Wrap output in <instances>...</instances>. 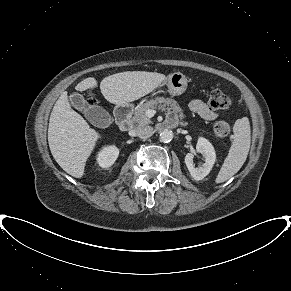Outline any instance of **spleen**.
<instances>
[{
	"label": "spleen",
	"instance_id": "spleen-1",
	"mask_svg": "<svg viewBox=\"0 0 291 291\" xmlns=\"http://www.w3.org/2000/svg\"><path fill=\"white\" fill-rule=\"evenodd\" d=\"M233 132L232 145L216 177V183L227 181L240 170L246 161L251 143L249 120L245 117L236 120L233 126Z\"/></svg>",
	"mask_w": 291,
	"mask_h": 291
}]
</instances>
